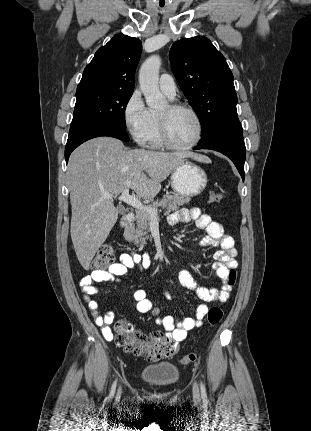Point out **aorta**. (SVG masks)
Returning <instances> with one entry per match:
<instances>
[{
    "label": "aorta",
    "instance_id": "1",
    "mask_svg": "<svg viewBox=\"0 0 311 431\" xmlns=\"http://www.w3.org/2000/svg\"><path fill=\"white\" fill-rule=\"evenodd\" d=\"M160 66V56H150L139 70L140 90L147 106L154 108V110L167 106L166 98L161 94L158 86Z\"/></svg>",
    "mask_w": 311,
    "mask_h": 431
}]
</instances>
